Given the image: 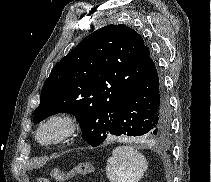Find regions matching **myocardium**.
<instances>
[{
    "mask_svg": "<svg viewBox=\"0 0 211 182\" xmlns=\"http://www.w3.org/2000/svg\"><path fill=\"white\" fill-rule=\"evenodd\" d=\"M60 126L61 130L53 136H45V131L51 126ZM80 122L71 113H54L42 120L36 128L35 139L43 146H51L62 143L79 130Z\"/></svg>",
    "mask_w": 211,
    "mask_h": 182,
    "instance_id": "f54148a6",
    "label": "myocardium"
}]
</instances>
